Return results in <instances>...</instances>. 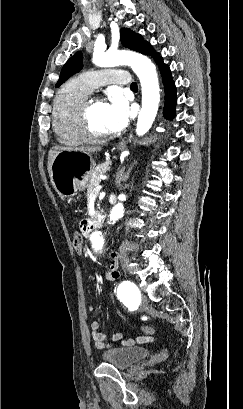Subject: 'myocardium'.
Listing matches in <instances>:
<instances>
[{"label":"myocardium","mask_w":243,"mask_h":409,"mask_svg":"<svg viewBox=\"0 0 243 409\" xmlns=\"http://www.w3.org/2000/svg\"><path fill=\"white\" fill-rule=\"evenodd\" d=\"M94 100H101L99 96L88 94L78 106V124L85 141L98 142L107 137V134H97L92 131L89 122V106Z\"/></svg>","instance_id":"myocardium-1"}]
</instances>
